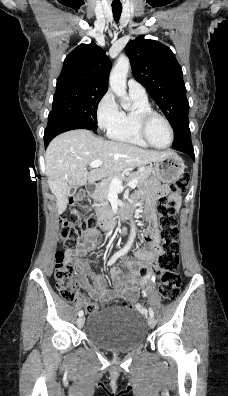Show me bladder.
Returning <instances> with one entry per match:
<instances>
[{"mask_svg":"<svg viewBox=\"0 0 228 396\" xmlns=\"http://www.w3.org/2000/svg\"><path fill=\"white\" fill-rule=\"evenodd\" d=\"M85 336L101 348L128 351L146 341V321L136 311L107 308L90 315Z\"/></svg>","mask_w":228,"mask_h":396,"instance_id":"bladder-1","label":"bladder"}]
</instances>
